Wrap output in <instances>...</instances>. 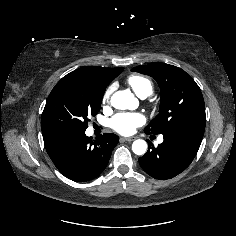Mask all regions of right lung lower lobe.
<instances>
[{
  "instance_id": "98d812e1",
  "label": "right lung lower lobe",
  "mask_w": 236,
  "mask_h": 236,
  "mask_svg": "<svg viewBox=\"0 0 236 236\" xmlns=\"http://www.w3.org/2000/svg\"><path fill=\"white\" fill-rule=\"evenodd\" d=\"M119 137L104 133L96 141L84 133L60 138L46 146V151L57 169L75 181H90L106 168Z\"/></svg>"
}]
</instances>
